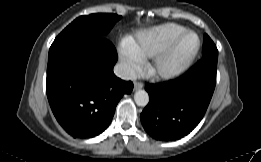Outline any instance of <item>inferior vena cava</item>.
<instances>
[{"instance_id": "inferior-vena-cava-1", "label": "inferior vena cava", "mask_w": 261, "mask_h": 162, "mask_svg": "<svg viewBox=\"0 0 261 162\" xmlns=\"http://www.w3.org/2000/svg\"><path fill=\"white\" fill-rule=\"evenodd\" d=\"M114 73L123 80H136L137 74L128 63H119L114 67Z\"/></svg>"}]
</instances>
